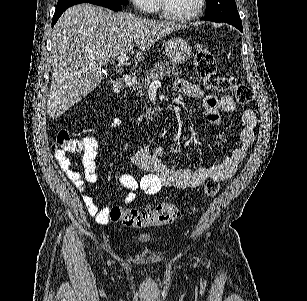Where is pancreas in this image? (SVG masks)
<instances>
[{
	"mask_svg": "<svg viewBox=\"0 0 307 301\" xmlns=\"http://www.w3.org/2000/svg\"><path fill=\"white\" fill-rule=\"evenodd\" d=\"M181 72L176 70L174 66H170L169 62H158L154 64L151 70H147L146 74L135 82L139 94H145L151 84L152 80H161L163 76H180Z\"/></svg>",
	"mask_w": 307,
	"mask_h": 301,
	"instance_id": "cf45deb5",
	"label": "pancreas"
}]
</instances>
